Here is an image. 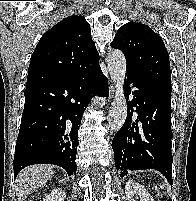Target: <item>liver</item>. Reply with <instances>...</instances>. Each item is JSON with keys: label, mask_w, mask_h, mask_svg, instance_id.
<instances>
[{"label": "liver", "mask_w": 196, "mask_h": 201, "mask_svg": "<svg viewBox=\"0 0 196 201\" xmlns=\"http://www.w3.org/2000/svg\"><path fill=\"white\" fill-rule=\"evenodd\" d=\"M54 174L52 166L32 165L19 172L16 178V194L18 201H25L37 188L45 185Z\"/></svg>", "instance_id": "6515ba94"}]
</instances>
